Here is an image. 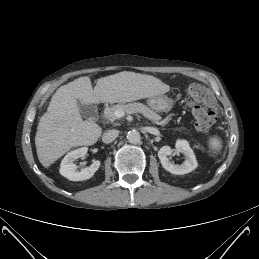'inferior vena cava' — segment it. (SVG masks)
Segmentation results:
<instances>
[{
  "mask_svg": "<svg viewBox=\"0 0 259 259\" xmlns=\"http://www.w3.org/2000/svg\"><path fill=\"white\" fill-rule=\"evenodd\" d=\"M119 135L118 130H108L102 136V141L106 144L113 142Z\"/></svg>",
  "mask_w": 259,
  "mask_h": 259,
  "instance_id": "1",
  "label": "inferior vena cava"
}]
</instances>
